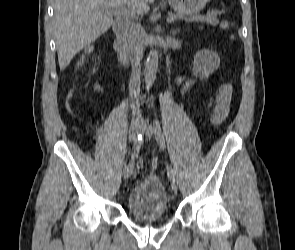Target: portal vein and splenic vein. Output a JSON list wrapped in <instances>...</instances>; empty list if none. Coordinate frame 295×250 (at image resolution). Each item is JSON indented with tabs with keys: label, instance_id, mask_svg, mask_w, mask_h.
Instances as JSON below:
<instances>
[{
	"label": "portal vein and splenic vein",
	"instance_id": "obj_1",
	"mask_svg": "<svg viewBox=\"0 0 295 250\" xmlns=\"http://www.w3.org/2000/svg\"><path fill=\"white\" fill-rule=\"evenodd\" d=\"M108 11L110 13H114L116 15H124V14H131L133 15L135 13L134 10L129 11L127 8H125L124 6L122 7H114V8H110L108 9ZM176 18L174 16H169L167 18L168 22H173Z\"/></svg>",
	"mask_w": 295,
	"mask_h": 250
}]
</instances>
